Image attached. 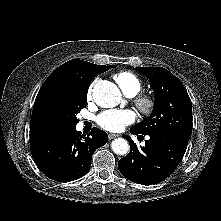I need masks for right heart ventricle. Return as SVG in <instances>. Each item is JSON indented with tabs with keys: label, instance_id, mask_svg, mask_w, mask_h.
Here are the masks:
<instances>
[{
	"label": "right heart ventricle",
	"instance_id": "1",
	"mask_svg": "<svg viewBox=\"0 0 221 221\" xmlns=\"http://www.w3.org/2000/svg\"><path fill=\"white\" fill-rule=\"evenodd\" d=\"M114 80L128 96L136 95L142 87L140 78L130 71H121L114 75Z\"/></svg>",
	"mask_w": 221,
	"mask_h": 221
}]
</instances>
